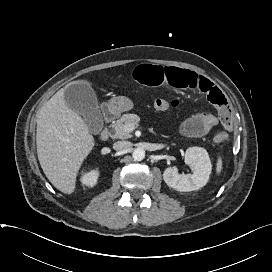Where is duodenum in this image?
Returning <instances> with one entry per match:
<instances>
[{"mask_svg": "<svg viewBox=\"0 0 272 272\" xmlns=\"http://www.w3.org/2000/svg\"><path fill=\"white\" fill-rule=\"evenodd\" d=\"M115 116H116V113L112 108H110V107L104 108L102 111L103 124L106 125V124L110 123L111 121L114 120ZM108 136H109L108 129L104 126L100 131L99 137L102 140H106V139H108Z\"/></svg>", "mask_w": 272, "mask_h": 272, "instance_id": "410a0bca", "label": "duodenum"}]
</instances>
